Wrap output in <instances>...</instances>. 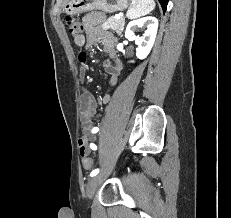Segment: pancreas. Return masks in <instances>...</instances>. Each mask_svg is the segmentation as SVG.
<instances>
[{
    "label": "pancreas",
    "mask_w": 231,
    "mask_h": 218,
    "mask_svg": "<svg viewBox=\"0 0 231 218\" xmlns=\"http://www.w3.org/2000/svg\"><path fill=\"white\" fill-rule=\"evenodd\" d=\"M124 24L125 21L123 17L117 19L116 17L111 16L102 24V29H112L116 31L118 35H121L122 31L124 30Z\"/></svg>",
    "instance_id": "cf45deb5"
}]
</instances>
